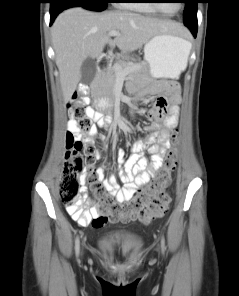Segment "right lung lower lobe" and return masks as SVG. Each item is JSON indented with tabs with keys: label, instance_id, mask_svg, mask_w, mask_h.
Returning <instances> with one entry per match:
<instances>
[{
	"label": "right lung lower lobe",
	"instance_id": "1",
	"mask_svg": "<svg viewBox=\"0 0 239 296\" xmlns=\"http://www.w3.org/2000/svg\"><path fill=\"white\" fill-rule=\"evenodd\" d=\"M65 6L63 5L61 0H56L50 6V25L53 23L56 16L64 10Z\"/></svg>",
	"mask_w": 239,
	"mask_h": 296
}]
</instances>
